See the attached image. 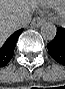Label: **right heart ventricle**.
Here are the masks:
<instances>
[{
  "label": "right heart ventricle",
  "instance_id": "1",
  "mask_svg": "<svg viewBox=\"0 0 65 89\" xmlns=\"http://www.w3.org/2000/svg\"><path fill=\"white\" fill-rule=\"evenodd\" d=\"M35 2L41 7H57L60 4L59 0H35Z\"/></svg>",
  "mask_w": 65,
  "mask_h": 89
}]
</instances>
